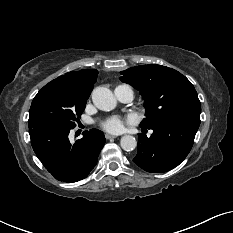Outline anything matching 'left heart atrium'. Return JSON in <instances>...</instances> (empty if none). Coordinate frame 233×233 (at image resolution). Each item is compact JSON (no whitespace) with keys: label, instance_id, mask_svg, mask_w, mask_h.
<instances>
[{"label":"left heart atrium","instance_id":"obj_1","mask_svg":"<svg viewBox=\"0 0 233 233\" xmlns=\"http://www.w3.org/2000/svg\"><path fill=\"white\" fill-rule=\"evenodd\" d=\"M134 120L133 118H121L119 116H112L105 120L102 124L103 128L106 131L112 132V133H118L123 130L125 123H132Z\"/></svg>","mask_w":233,"mask_h":233}]
</instances>
